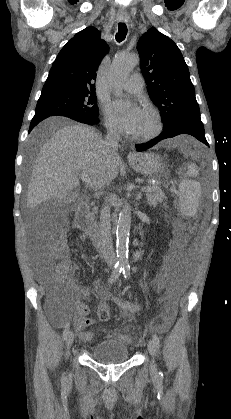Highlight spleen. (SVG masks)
<instances>
[{
    "mask_svg": "<svg viewBox=\"0 0 231 419\" xmlns=\"http://www.w3.org/2000/svg\"><path fill=\"white\" fill-rule=\"evenodd\" d=\"M198 169L195 164H190L185 173V179L179 184V206L182 214L192 217L196 214L201 194L200 184L189 177H196Z\"/></svg>",
    "mask_w": 231,
    "mask_h": 419,
    "instance_id": "spleen-1",
    "label": "spleen"
}]
</instances>
